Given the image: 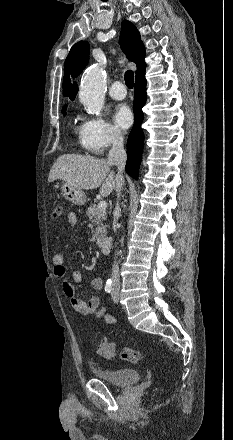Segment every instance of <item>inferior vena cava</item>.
I'll return each mask as SVG.
<instances>
[{
    "instance_id": "602c4592",
    "label": "inferior vena cava",
    "mask_w": 233,
    "mask_h": 440,
    "mask_svg": "<svg viewBox=\"0 0 233 440\" xmlns=\"http://www.w3.org/2000/svg\"><path fill=\"white\" fill-rule=\"evenodd\" d=\"M126 152L124 150L123 146V137L119 133H114L112 137V148L110 149L108 153V162L112 165H115L118 167V174H117V183H116V192L118 198L121 195V190L124 184V179L122 176V172L125 168L126 164ZM113 230L116 231V223L121 216V209L119 206V203L117 202L116 207L113 212ZM117 255V254H116ZM112 282L114 286H118L120 282V276H119V268L116 261L113 264L112 267Z\"/></svg>"
}]
</instances>
